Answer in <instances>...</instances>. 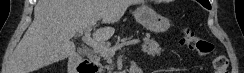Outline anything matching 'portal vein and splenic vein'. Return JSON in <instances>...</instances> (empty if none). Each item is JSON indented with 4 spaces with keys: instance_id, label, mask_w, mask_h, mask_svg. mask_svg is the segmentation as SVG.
Returning a JSON list of instances; mask_svg holds the SVG:
<instances>
[{
    "instance_id": "18ae733b",
    "label": "portal vein and splenic vein",
    "mask_w": 244,
    "mask_h": 73,
    "mask_svg": "<svg viewBox=\"0 0 244 73\" xmlns=\"http://www.w3.org/2000/svg\"><path fill=\"white\" fill-rule=\"evenodd\" d=\"M90 32H91V28H88L84 31L82 36V41L86 43L89 47L93 48L95 51L106 53L110 56L114 55L117 50L121 49L124 46L135 45L140 42L139 39H134L131 41L123 42L114 47H109L101 43L99 40L92 38Z\"/></svg>"
}]
</instances>
